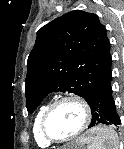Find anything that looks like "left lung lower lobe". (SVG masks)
I'll return each mask as SVG.
<instances>
[{"mask_svg": "<svg viewBox=\"0 0 124 149\" xmlns=\"http://www.w3.org/2000/svg\"><path fill=\"white\" fill-rule=\"evenodd\" d=\"M111 79L112 76L110 75L94 87L85 97V100L91 108L92 114L89 128L100 123L115 126L121 124L112 96Z\"/></svg>", "mask_w": 124, "mask_h": 149, "instance_id": "left-lung-lower-lobe-1", "label": "left lung lower lobe"}]
</instances>
